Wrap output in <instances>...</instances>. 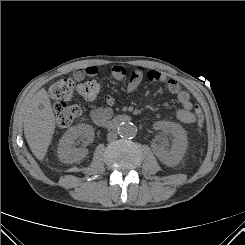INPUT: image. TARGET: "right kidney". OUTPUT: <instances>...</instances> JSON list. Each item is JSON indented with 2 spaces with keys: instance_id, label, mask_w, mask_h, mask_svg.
I'll return each instance as SVG.
<instances>
[{
  "instance_id": "ca27d5eb",
  "label": "right kidney",
  "mask_w": 245,
  "mask_h": 245,
  "mask_svg": "<svg viewBox=\"0 0 245 245\" xmlns=\"http://www.w3.org/2000/svg\"><path fill=\"white\" fill-rule=\"evenodd\" d=\"M80 139L87 146L94 139V129L88 124H79L68 129L62 136L58 147V158L63 163H75L84 158L88 151L76 148L75 140Z\"/></svg>"
}]
</instances>
